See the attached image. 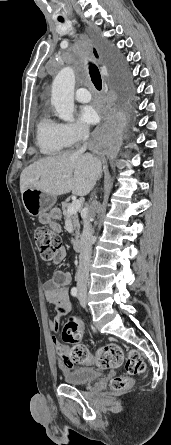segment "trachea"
Instances as JSON below:
<instances>
[{
    "label": "trachea",
    "mask_w": 171,
    "mask_h": 445,
    "mask_svg": "<svg viewBox=\"0 0 171 445\" xmlns=\"http://www.w3.org/2000/svg\"><path fill=\"white\" fill-rule=\"evenodd\" d=\"M89 69H90V77L94 86L96 87L97 90H101L102 79L98 68L94 64H91L89 66Z\"/></svg>",
    "instance_id": "obj_1"
}]
</instances>
